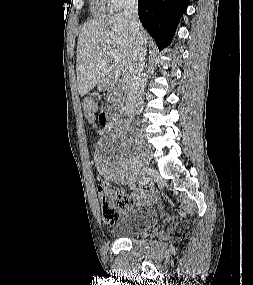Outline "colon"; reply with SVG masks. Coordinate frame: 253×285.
Segmentation results:
<instances>
[{
	"label": "colon",
	"mask_w": 253,
	"mask_h": 285,
	"mask_svg": "<svg viewBox=\"0 0 253 285\" xmlns=\"http://www.w3.org/2000/svg\"><path fill=\"white\" fill-rule=\"evenodd\" d=\"M84 109L87 119L90 122H94L97 119L94 104L91 101H87ZM97 192L101 201L103 219L109 224L116 222L121 214L126 209L132 207L135 202L132 195L103 185L98 186Z\"/></svg>",
	"instance_id": "obj_1"
}]
</instances>
